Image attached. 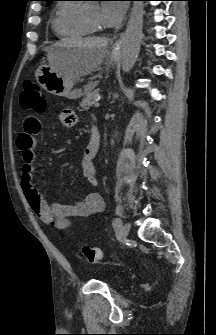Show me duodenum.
<instances>
[{"label": "duodenum", "mask_w": 216, "mask_h": 335, "mask_svg": "<svg viewBox=\"0 0 216 335\" xmlns=\"http://www.w3.org/2000/svg\"><path fill=\"white\" fill-rule=\"evenodd\" d=\"M91 136L94 140H99L100 139L99 131L96 127H93L91 129Z\"/></svg>", "instance_id": "duodenum-1"}]
</instances>
